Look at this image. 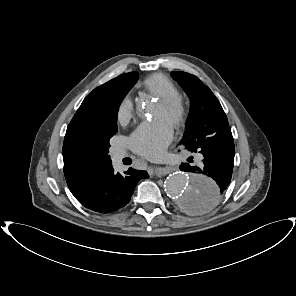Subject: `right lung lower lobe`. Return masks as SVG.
I'll list each match as a JSON object with an SVG mask.
<instances>
[{
	"mask_svg": "<svg viewBox=\"0 0 296 296\" xmlns=\"http://www.w3.org/2000/svg\"><path fill=\"white\" fill-rule=\"evenodd\" d=\"M148 177L146 171L133 168H129L123 176L119 173L114 174L111 167L94 177L73 195L84 207L92 211L111 213L126 206L137 182Z\"/></svg>",
	"mask_w": 296,
	"mask_h": 296,
	"instance_id": "right-lung-lower-lobe-1",
	"label": "right lung lower lobe"
}]
</instances>
